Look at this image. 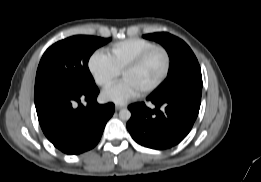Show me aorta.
I'll use <instances>...</instances> for the list:
<instances>
[{
    "label": "aorta",
    "instance_id": "obj_1",
    "mask_svg": "<svg viewBox=\"0 0 261 182\" xmlns=\"http://www.w3.org/2000/svg\"><path fill=\"white\" fill-rule=\"evenodd\" d=\"M131 117V112L128 109H122L119 112V118L123 121H128Z\"/></svg>",
    "mask_w": 261,
    "mask_h": 182
}]
</instances>
